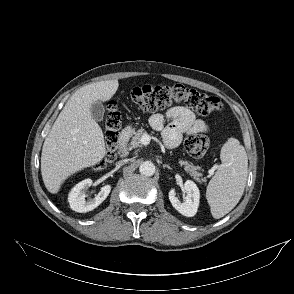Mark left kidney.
Segmentation results:
<instances>
[{
  "instance_id": "1",
  "label": "left kidney",
  "mask_w": 294,
  "mask_h": 294,
  "mask_svg": "<svg viewBox=\"0 0 294 294\" xmlns=\"http://www.w3.org/2000/svg\"><path fill=\"white\" fill-rule=\"evenodd\" d=\"M184 189L187 192V196L183 203L176 197L175 189L169 191V200L172 206L182 215L187 217H193L198 210L200 192L197 185L191 181L187 180L184 183Z\"/></svg>"
}]
</instances>
